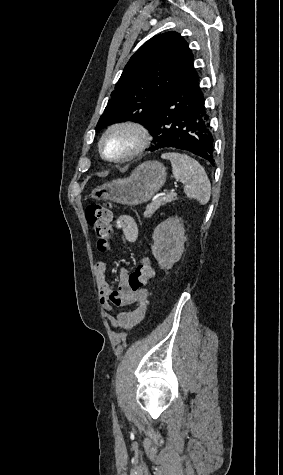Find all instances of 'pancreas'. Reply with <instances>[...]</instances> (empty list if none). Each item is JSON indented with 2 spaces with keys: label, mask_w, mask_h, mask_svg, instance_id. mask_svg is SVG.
Here are the masks:
<instances>
[{
  "label": "pancreas",
  "mask_w": 283,
  "mask_h": 475,
  "mask_svg": "<svg viewBox=\"0 0 283 475\" xmlns=\"http://www.w3.org/2000/svg\"><path fill=\"white\" fill-rule=\"evenodd\" d=\"M173 200H177L174 194H167V196L157 198V200H154V202L148 204L146 212H144V218H151L152 214H154V212H156L160 206H165V204H168V202H173Z\"/></svg>",
  "instance_id": "obj_1"
}]
</instances>
